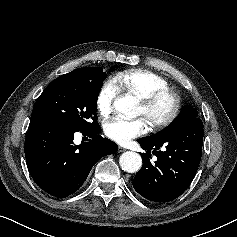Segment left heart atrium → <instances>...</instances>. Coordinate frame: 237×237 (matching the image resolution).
Masks as SVG:
<instances>
[{
	"label": "left heart atrium",
	"mask_w": 237,
	"mask_h": 237,
	"mask_svg": "<svg viewBox=\"0 0 237 237\" xmlns=\"http://www.w3.org/2000/svg\"><path fill=\"white\" fill-rule=\"evenodd\" d=\"M147 131V123L143 118L127 120L119 117L107 121L104 132L110 139L125 144L131 139L143 135Z\"/></svg>",
	"instance_id": "left-heart-atrium-1"
}]
</instances>
